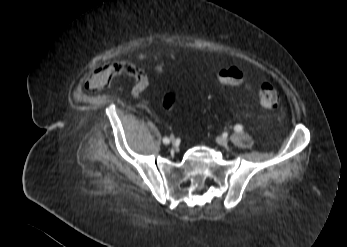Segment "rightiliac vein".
I'll use <instances>...</instances> for the list:
<instances>
[{"label": "right iliac vein", "instance_id": "obj_1", "mask_svg": "<svg viewBox=\"0 0 347 247\" xmlns=\"http://www.w3.org/2000/svg\"><path fill=\"white\" fill-rule=\"evenodd\" d=\"M171 140H172V142H174V141H175V138H174V137H172V138H171Z\"/></svg>", "mask_w": 347, "mask_h": 247}]
</instances>
